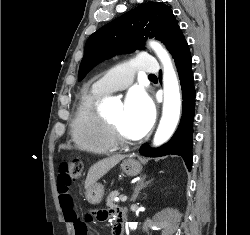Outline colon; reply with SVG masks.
Instances as JSON below:
<instances>
[{"label":"colon","mask_w":250,"mask_h":235,"mask_svg":"<svg viewBox=\"0 0 250 235\" xmlns=\"http://www.w3.org/2000/svg\"><path fill=\"white\" fill-rule=\"evenodd\" d=\"M83 174V163L80 159L64 160L59 165L58 185L64 190H70L71 185L79 180ZM98 212H92L88 221H96ZM86 221V222H88ZM77 220L75 222L76 235L87 234V223Z\"/></svg>","instance_id":"colon-1"}]
</instances>
